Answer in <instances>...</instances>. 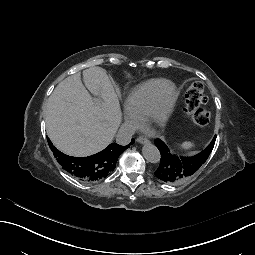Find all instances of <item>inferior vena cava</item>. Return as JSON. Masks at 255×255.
I'll return each instance as SVG.
<instances>
[{
    "label": "inferior vena cava",
    "instance_id": "obj_1",
    "mask_svg": "<svg viewBox=\"0 0 255 255\" xmlns=\"http://www.w3.org/2000/svg\"><path fill=\"white\" fill-rule=\"evenodd\" d=\"M136 132V128L130 124H123L118 131L116 141L118 144L126 145L130 142L131 137Z\"/></svg>",
    "mask_w": 255,
    "mask_h": 255
}]
</instances>
